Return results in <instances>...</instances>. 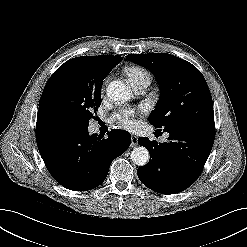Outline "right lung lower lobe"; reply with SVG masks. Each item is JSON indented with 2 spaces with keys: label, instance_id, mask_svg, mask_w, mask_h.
I'll return each mask as SVG.
<instances>
[{
  "label": "right lung lower lobe",
  "instance_id": "1",
  "mask_svg": "<svg viewBox=\"0 0 247 247\" xmlns=\"http://www.w3.org/2000/svg\"><path fill=\"white\" fill-rule=\"evenodd\" d=\"M36 141L48 171L59 184L73 191H87L105 180L113 159L130 146L131 135L112 129L105 139L89 135L88 127L38 114Z\"/></svg>",
  "mask_w": 247,
  "mask_h": 247
}]
</instances>
